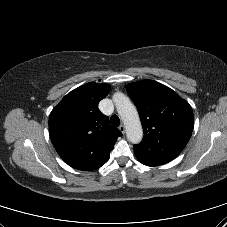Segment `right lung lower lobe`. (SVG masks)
I'll return each mask as SVG.
<instances>
[{
  "instance_id": "1",
  "label": "right lung lower lobe",
  "mask_w": 227,
  "mask_h": 227,
  "mask_svg": "<svg viewBox=\"0 0 227 227\" xmlns=\"http://www.w3.org/2000/svg\"><path fill=\"white\" fill-rule=\"evenodd\" d=\"M109 157H110V155L106 158V159H104L103 161H102V163L100 164V166L98 167V168H100L102 165H104L107 161H108V159H109ZM98 168H92V169H90V170H95V169H98ZM87 171V170H86Z\"/></svg>"
}]
</instances>
